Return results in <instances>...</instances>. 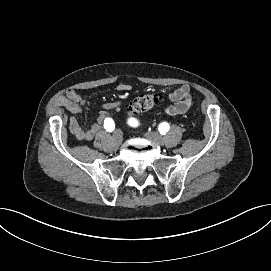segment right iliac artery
Instances as JSON below:
<instances>
[{
  "instance_id": "obj_1",
  "label": "right iliac artery",
  "mask_w": 271,
  "mask_h": 271,
  "mask_svg": "<svg viewBox=\"0 0 271 271\" xmlns=\"http://www.w3.org/2000/svg\"><path fill=\"white\" fill-rule=\"evenodd\" d=\"M104 128L106 129V131L108 132H112L115 128V123L113 121L112 118H106L104 120Z\"/></svg>"
}]
</instances>
